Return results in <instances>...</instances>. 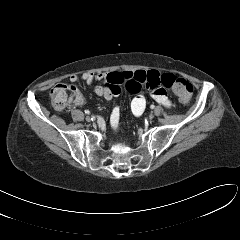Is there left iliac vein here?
Instances as JSON below:
<instances>
[{
	"instance_id": "obj_1",
	"label": "left iliac vein",
	"mask_w": 240,
	"mask_h": 240,
	"mask_svg": "<svg viewBox=\"0 0 240 240\" xmlns=\"http://www.w3.org/2000/svg\"><path fill=\"white\" fill-rule=\"evenodd\" d=\"M154 118V115L153 114H150L149 115V119H153Z\"/></svg>"
}]
</instances>
